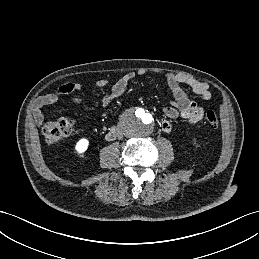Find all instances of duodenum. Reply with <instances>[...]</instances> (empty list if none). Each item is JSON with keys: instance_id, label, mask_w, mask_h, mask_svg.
Returning a JSON list of instances; mask_svg holds the SVG:
<instances>
[{"instance_id": "1", "label": "duodenum", "mask_w": 259, "mask_h": 259, "mask_svg": "<svg viewBox=\"0 0 259 259\" xmlns=\"http://www.w3.org/2000/svg\"><path fill=\"white\" fill-rule=\"evenodd\" d=\"M118 134V130L116 128H112L107 134H106V138L108 140H113L117 137Z\"/></svg>"}]
</instances>
